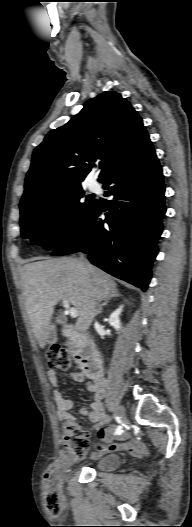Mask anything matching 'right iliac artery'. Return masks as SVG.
<instances>
[{
  "instance_id": "1",
  "label": "right iliac artery",
  "mask_w": 192,
  "mask_h": 527,
  "mask_svg": "<svg viewBox=\"0 0 192 527\" xmlns=\"http://www.w3.org/2000/svg\"><path fill=\"white\" fill-rule=\"evenodd\" d=\"M115 419H116V417H115ZM122 429H123V426H122V425H117V426H116V431H115L114 434H115V435L120 434V433L122 432Z\"/></svg>"
}]
</instances>
